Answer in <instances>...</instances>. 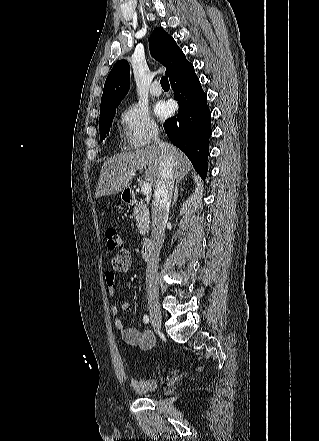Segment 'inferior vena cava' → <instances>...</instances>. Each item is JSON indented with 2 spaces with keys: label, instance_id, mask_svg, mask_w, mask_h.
I'll return each mask as SVG.
<instances>
[{
  "label": "inferior vena cava",
  "instance_id": "602c4592",
  "mask_svg": "<svg viewBox=\"0 0 319 441\" xmlns=\"http://www.w3.org/2000/svg\"><path fill=\"white\" fill-rule=\"evenodd\" d=\"M155 142L159 145L161 151V173L158 186L154 191L151 211L153 252L146 268V292L149 297L158 296L159 294V254L164 243L165 221L168 217L174 187L173 159L170 153L172 146L160 141L157 135H155Z\"/></svg>",
  "mask_w": 319,
  "mask_h": 441
}]
</instances>
